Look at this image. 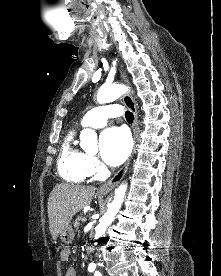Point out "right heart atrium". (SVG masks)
<instances>
[{"mask_svg": "<svg viewBox=\"0 0 221 276\" xmlns=\"http://www.w3.org/2000/svg\"><path fill=\"white\" fill-rule=\"evenodd\" d=\"M87 168L90 175L98 174L103 171V167L96 157L87 156Z\"/></svg>", "mask_w": 221, "mask_h": 276, "instance_id": "d8ad5b80", "label": "right heart atrium"}]
</instances>
